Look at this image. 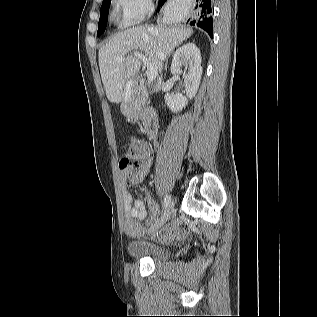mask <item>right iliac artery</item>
Instances as JSON below:
<instances>
[{"label":"right iliac artery","instance_id":"1","mask_svg":"<svg viewBox=\"0 0 317 317\" xmlns=\"http://www.w3.org/2000/svg\"><path fill=\"white\" fill-rule=\"evenodd\" d=\"M170 201H171L170 196L165 195V197H164V207H163L164 209H166L168 207Z\"/></svg>","mask_w":317,"mask_h":317}]
</instances>
